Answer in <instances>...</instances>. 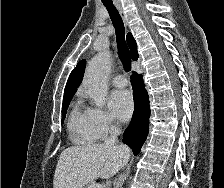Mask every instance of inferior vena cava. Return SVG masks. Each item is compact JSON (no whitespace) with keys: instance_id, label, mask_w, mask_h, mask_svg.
Returning a JSON list of instances; mask_svg holds the SVG:
<instances>
[{"instance_id":"1","label":"inferior vena cava","mask_w":224,"mask_h":188,"mask_svg":"<svg viewBox=\"0 0 224 188\" xmlns=\"http://www.w3.org/2000/svg\"><path fill=\"white\" fill-rule=\"evenodd\" d=\"M121 133V129L115 125L110 127V137L105 141L106 146L123 147L124 145L118 144V136Z\"/></svg>"}]
</instances>
